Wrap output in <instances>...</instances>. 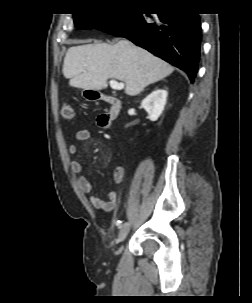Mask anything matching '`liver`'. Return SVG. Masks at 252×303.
I'll list each match as a JSON object with an SVG mask.
<instances>
[{"instance_id":"1","label":"liver","mask_w":252,"mask_h":303,"mask_svg":"<svg viewBox=\"0 0 252 303\" xmlns=\"http://www.w3.org/2000/svg\"><path fill=\"white\" fill-rule=\"evenodd\" d=\"M174 68L128 40L114 45L96 42L70 47L63 75L76 88L102 90L108 79L125 82V93L135 96L145 87L167 77Z\"/></svg>"}]
</instances>
